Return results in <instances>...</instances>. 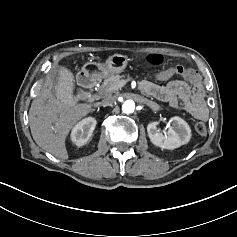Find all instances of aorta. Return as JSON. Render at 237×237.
I'll list each match as a JSON object with an SVG mask.
<instances>
[{
  "mask_svg": "<svg viewBox=\"0 0 237 237\" xmlns=\"http://www.w3.org/2000/svg\"><path fill=\"white\" fill-rule=\"evenodd\" d=\"M135 110V103L133 100H126L122 105V111L124 113H133Z\"/></svg>",
  "mask_w": 237,
  "mask_h": 237,
  "instance_id": "762f6f07",
  "label": "aorta"
}]
</instances>
